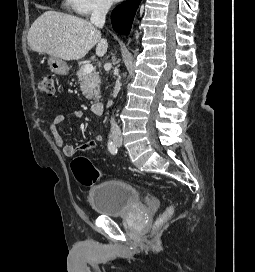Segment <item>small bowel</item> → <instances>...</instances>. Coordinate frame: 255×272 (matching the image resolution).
Segmentation results:
<instances>
[{"label": "small bowel", "mask_w": 255, "mask_h": 272, "mask_svg": "<svg viewBox=\"0 0 255 272\" xmlns=\"http://www.w3.org/2000/svg\"><path fill=\"white\" fill-rule=\"evenodd\" d=\"M73 115L75 118L81 119L84 117V111L76 109L74 110ZM65 120L66 117L64 115H57L50 124V132L52 134L54 144L62 149V152L66 157H73L78 150L90 151L103 144L104 138L101 134H97L91 140L85 141L78 146L67 144L59 129L60 125H62Z\"/></svg>", "instance_id": "c3829d8e"}]
</instances>
